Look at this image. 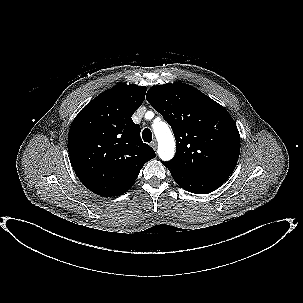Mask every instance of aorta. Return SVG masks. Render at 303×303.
Instances as JSON below:
<instances>
[{
    "mask_svg": "<svg viewBox=\"0 0 303 303\" xmlns=\"http://www.w3.org/2000/svg\"><path fill=\"white\" fill-rule=\"evenodd\" d=\"M153 130L158 141L159 157L164 161L172 159L175 153V140L169 126L160 121L153 124Z\"/></svg>",
    "mask_w": 303,
    "mask_h": 303,
    "instance_id": "1",
    "label": "aorta"
}]
</instances>
